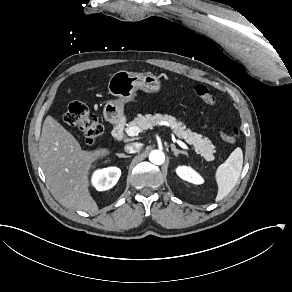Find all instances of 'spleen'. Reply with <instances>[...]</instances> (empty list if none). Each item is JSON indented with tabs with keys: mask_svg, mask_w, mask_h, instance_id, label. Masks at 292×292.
Masks as SVG:
<instances>
[{
	"mask_svg": "<svg viewBox=\"0 0 292 292\" xmlns=\"http://www.w3.org/2000/svg\"><path fill=\"white\" fill-rule=\"evenodd\" d=\"M243 166V151L236 147L224 164H221L214 173L218 187L215 201L218 202L226 197L235 187L240 178Z\"/></svg>",
	"mask_w": 292,
	"mask_h": 292,
	"instance_id": "1",
	"label": "spleen"
}]
</instances>
